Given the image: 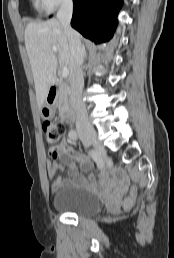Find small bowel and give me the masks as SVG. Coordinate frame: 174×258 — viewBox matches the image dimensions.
Returning <instances> with one entry per match:
<instances>
[{
  "mask_svg": "<svg viewBox=\"0 0 174 258\" xmlns=\"http://www.w3.org/2000/svg\"><path fill=\"white\" fill-rule=\"evenodd\" d=\"M54 152H57L56 156L53 155ZM61 152H63L65 156L60 162L48 163L47 165V172L51 180L52 191H57L60 186L65 183L62 178L57 175V172L62 170L65 165L69 166V177L73 184L81 187L90 186L93 190H97L96 180L91 178L88 182L82 175L79 174L76 167L77 164L84 170H91L94 165L92 159L74 150L69 145L67 139H63L59 147L50 149V155L53 158L60 156ZM98 180L107 188L103 194L110 200H115L121 197L129 183L125 174L115 177L114 173L111 171H101L99 173Z\"/></svg>",
  "mask_w": 174,
  "mask_h": 258,
  "instance_id": "obj_1",
  "label": "small bowel"
}]
</instances>
